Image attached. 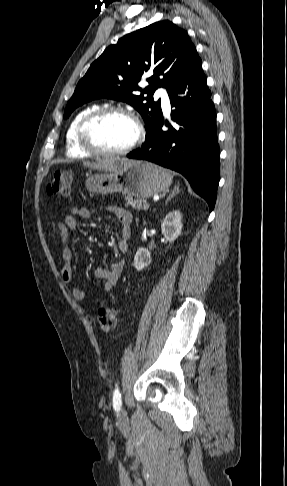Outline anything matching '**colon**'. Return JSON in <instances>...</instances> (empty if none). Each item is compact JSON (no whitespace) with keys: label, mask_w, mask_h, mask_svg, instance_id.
<instances>
[{"label":"colon","mask_w":287,"mask_h":486,"mask_svg":"<svg viewBox=\"0 0 287 486\" xmlns=\"http://www.w3.org/2000/svg\"><path fill=\"white\" fill-rule=\"evenodd\" d=\"M71 187V176L67 171H56L48 185L47 193L51 196H65L69 194ZM97 321L101 331L105 334L111 332L116 327L117 313L111 306L98 301L97 307Z\"/></svg>","instance_id":"obj_1"}]
</instances>
